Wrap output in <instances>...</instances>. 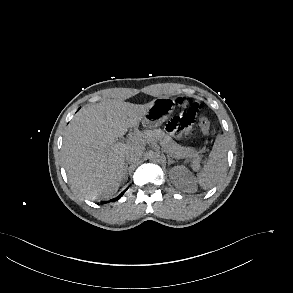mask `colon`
<instances>
[{
  "label": "colon",
  "instance_id": "5ec220e1",
  "mask_svg": "<svg viewBox=\"0 0 293 293\" xmlns=\"http://www.w3.org/2000/svg\"><path fill=\"white\" fill-rule=\"evenodd\" d=\"M177 103L179 106L185 108L183 112L172 118L166 125V130L170 134L179 136L184 133L187 128L194 122L199 116L201 107L197 102L188 104L183 98H178ZM199 125L202 133L205 136L210 135V122L204 116H199Z\"/></svg>",
  "mask_w": 293,
  "mask_h": 293
}]
</instances>
